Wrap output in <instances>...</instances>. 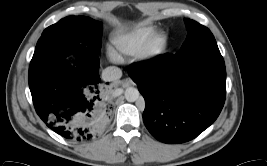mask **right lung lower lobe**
I'll return each instance as SVG.
<instances>
[{"label": "right lung lower lobe", "instance_id": "1", "mask_svg": "<svg viewBox=\"0 0 267 166\" xmlns=\"http://www.w3.org/2000/svg\"><path fill=\"white\" fill-rule=\"evenodd\" d=\"M71 52L77 53V67L66 60ZM98 69L97 52L69 36L44 34L37 42L29 66L33 104L44 123L65 139L88 141L109 121Z\"/></svg>", "mask_w": 267, "mask_h": 166}]
</instances>
